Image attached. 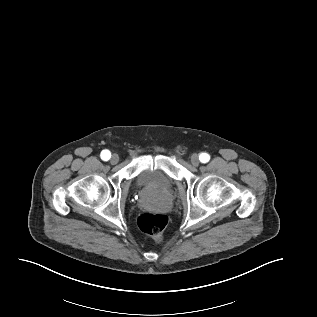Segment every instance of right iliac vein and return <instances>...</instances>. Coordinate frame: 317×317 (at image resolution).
Here are the masks:
<instances>
[{
  "instance_id": "63e3f726",
  "label": "right iliac vein",
  "mask_w": 317,
  "mask_h": 317,
  "mask_svg": "<svg viewBox=\"0 0 317 317\" xmlns=\"http://www.w3.org/2000/svg\"><path fill=\"white\" fill-rule=\"evenodd\" d=\"M118 161H119L118 155H116V154L112 155V157H111V159H110V163H111V164H117Z\"/></svg>"
}]
</instances>
